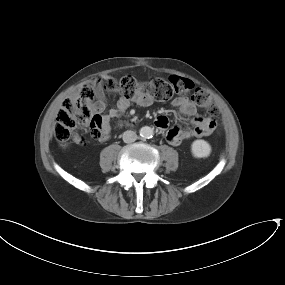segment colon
I'll use <instances>...</instances> for the list:
<instances>
[{
	"instance_id": "1",
	"label": "colon",
	"mask_w": 285,
	"mask_h": 285,
	"mask_svg": "<svg viewBox=\"0 0 285 285\" xmlns=\"http://www.w3.org/2000/svg\"><path fill=\"white\" fill-rule=\"evenodd\" d=\"M118 89L126 98L140 94L149 95L159 101H166L177 94H185L193 90L192 101L199 107L204 108L210 115H214L217 108L210 95L203 88H196L193 81L181 76H170L168 78H155L148 82H139L132 76H125L118 80L113 78H102L96 82H88L78 89L76 99H68L62 104L55 125V136L58 141L67 143L74 137L76 129L90 127V136L93 140H100L104 136V127L97 116L90 114L88 103L95 98V90ZM158 124H163L165 118L157 117ZM216 122L211 119L202 134L212 132Z\"/></svg>"
}]
</instances>
